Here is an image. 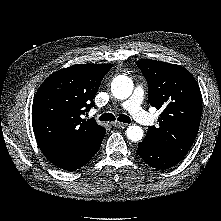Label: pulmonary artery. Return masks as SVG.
Here are the masks:
<instances>
[{
  "label": "pulmonary artery",
  "instance_id": "pulmonary-artery-1",
  "mask_svg": "<svg viewBox=\"0 0 221 221\" xmlns=\"http://www.w3.org/2000/svg\"><path fill=\"white\" fill-rule=\"evenodd\" d=\"M144 91L142 86L138 85L131 97L123 102L121 106L128 110L133 118L142 125H152L154 118L148 114L141 106L143 101Z\"/></svg>",
  "mask_w": 221,
  "mask_h": 221
}]
</instances>
